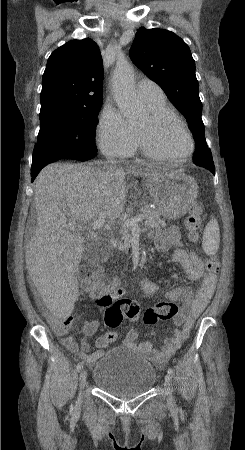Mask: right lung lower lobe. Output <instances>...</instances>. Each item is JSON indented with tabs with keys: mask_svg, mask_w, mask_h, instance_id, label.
<instances>
[{
	"mask_svg": "<svg viewBox=\"0 0 245 450\" xmlns=\"http://www.w3.org/2000/svg\"><path fill=\"white\" fill-rule=\"evenodd\" d=\"M95 154H96V152H72V153H65V154H61V155H57V156L48 158V159L42 161L39 165H37L35 167L32 166V168H31L32 181L36 178L39 171L48 163H51L53 161L60 160V159H76V160L86 161V160L93 158L95 156Z\"/></svg>",
	"mask_w": 245,
	"mask_h": 450,
	"instance_id": "obj_1",
	"label": "right lung lower lobe"
}]
</instances>
